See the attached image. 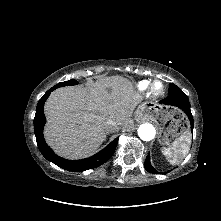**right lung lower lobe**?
<instances>
[{
	"instance_id": "98d812e1",
	"label": "right lung lower lobe",
	"mask_w": 221,
	"mask_h": 221,
	"mask_svg": "<svg viewBox=\"0 0 221 221\" xmlns=\"http://www.w3.org/2000/svg\"><path fill=\"white\" fill-rule=\"evenodd\" d=\"M55 90L51 88L45 95L39 100L36 108V114L34 118V133L36 136L37 145L42 155L50 162L68 171L81 172L88 169L98 167L105 163L114 153L118 138L114 139L108 146L103 150L93 155L92 157L82 160H67L57 156L52 149L46 144L43 136V128L46 123L44 115V103L50 93Z\"/></svg>"
}]
</instances>
